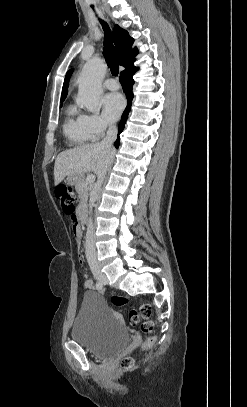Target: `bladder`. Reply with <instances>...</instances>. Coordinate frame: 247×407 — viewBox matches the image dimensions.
Listing matches in <instances>:
<instances>
[{
    "label": "bladder",
    "mask_w": 247,
    "mask_h": 407,
    "mask_svg": "<svg viewBox=\"0 0 247 407\" xmlns=\"http://www.w3.org/2000/svg\"><path fill=\"white\" fill-rule=\"evenodd\" d=\"M71 335L75 342L104 357L119 353L129 340L125 325L96 292L84 294Z\"/></svg>",
    "instance_id": "31cf9c89"
}]
</instances>
